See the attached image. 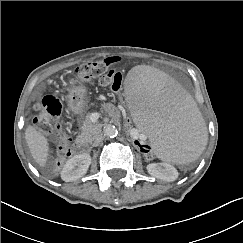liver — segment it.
Returning <instances> with one entry per match:
<instances>
[{
    "instance_id": "liver-1",
    "label": "liver",
    "mask_w": 243,
    "mask_h": 243,
    "mask_svg": "<svg viewBox=\"0 0 243 243\" xmlns=\"http://www.w3.org/2000/svg\"><path fill=\"white\" fill-rule=\"evenodd\" d=\"M25 139L35 162L45 167L49 153L48 139L31 125L25 130Z\"/></svg>"
}]
</instances>
